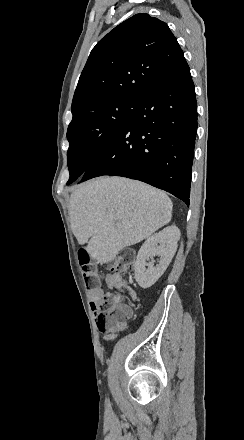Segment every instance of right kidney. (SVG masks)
<instances>
[{"mask_svg":"<svg viewBox=\"0 0 244 440\" xmlns=\"http://www.w3.org/2000/svg\"><path fill=\"white\" fill-rule=\"evenodd\" d=\"M178 240H180V230L177 226H168L158 234L147 238L138 252L134 266L135 280L140 288L146 290L161 278L177 250ZM153 256H160V262L156 266L153 262L148 264V260Z\"/></svg>","mask_w":244,"mask_h":440,"instance_id":"1","label":"right kidney"}]
</instances>
